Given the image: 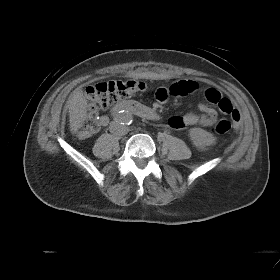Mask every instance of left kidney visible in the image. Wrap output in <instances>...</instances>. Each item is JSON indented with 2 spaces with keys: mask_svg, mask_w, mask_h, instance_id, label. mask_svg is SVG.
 I'll use <instances>...</instances> for the list:
<instances>
[{
  "mask_svg": "<svg viewBox=\"0 0 280 280\" xmlns=\"http://www.w3.org/2000/svg\"><path fill=\"white\" fill-rule=\"evenodd\" d=\"M189 135L193 144L200 149H205L206 146L213 145L216 142L215 137L211 133L201 128L191 129Z\"/></svg>",
  "mask_w": 280,
  "mask_h": 280,
  "instance_id": "1",
  "label": "left kidney"
}]
</instances>
